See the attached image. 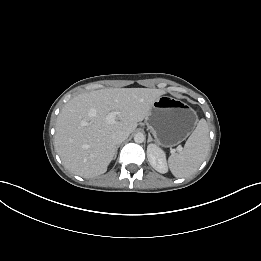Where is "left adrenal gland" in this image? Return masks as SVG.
<instances>
[{"mask_svg":"<svg viewBox=\"0 0 261 261\" xmlns=\"http://www.w3.org/2000/svg\"><path fill=\"white\" fill-rule=\"evenodd\" d=\"M152 141V137H151V135L149 134L148 135V142H151Z\"/></svg>","mask_w":261,"mask_h":261,"instance_id":"1","label":"left adrenal gland"}]
</instances>
